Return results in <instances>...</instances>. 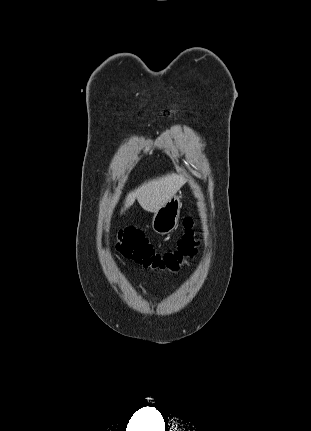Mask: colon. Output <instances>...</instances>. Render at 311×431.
I'll use <instances>...</instances> for the list:
<instances>
[{
	"label": "colon",
	"mask_w": 311,
	"mask_h": 431,
	"mask_svg": "<svg viewBox=\"0 0 311 431\" xmlns=\"http://www.w3.org/2000/svg\"><path fill=\"white\" fill-rule=\"evenodd\" d=\"M184 233L177 246L166 252H158L136 229L127 228L118 233L117 249L121 254L145 268L176 271L197 252L198 239L195 223L191 216L184 221Z\"/></svg>",
	"instance_id": "obj_1"
}]
</instances>
